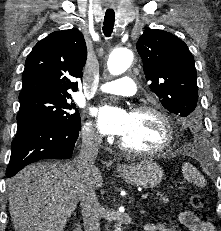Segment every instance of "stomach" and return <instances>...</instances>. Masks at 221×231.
<instances>
[{
	"mask_svg": "<svg viewBox=\"0 0 221 231\" xmlns=\"http://www.w3.org/2000/svg\"><path fill=\"white\" fill-rule=\"evenodd\" d=\"M117 171L128 183L146 189L158 186L164 174L162 168L153 160H141L123 165Z\"/></svg>",
	"mask_w": 221,
	"mask_h": 231,
	"instance_id": "1",
	"label": "stomach"
}]
</instances>
